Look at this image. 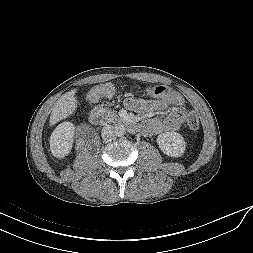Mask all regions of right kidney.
I'll list each match as a JSON object with an SVG mask.
<instances>
[{
	"label": "right kidney",
	"mask_w": 253,
	"mask_h": 253,
	"mask_svg": "<svg viewBox=\"0 0 253 253\" xmlns=\"http://www.w3.org/2000/svg\"><path fill=\"white\" fill-rule=\"evenodd\" d=\"M74 127L69 122L59 124L50 136V149L54 157H66L73 146Z\"/></svg>",
	"instance_id": "right-kidney-1"
}]
</instances>
